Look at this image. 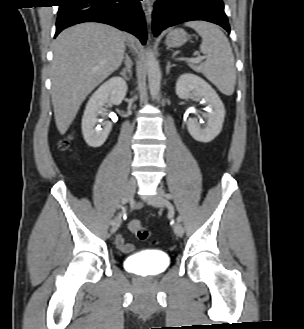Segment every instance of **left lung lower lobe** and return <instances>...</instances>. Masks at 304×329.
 <instances>
[{"instance_id": "0a47b994", "label": "left lung lower lobe", "mask_w": 304, "mask_h": 329, "mask_svg": "<svg viewBox=\"0 0 304 329\" xmlns=\"http://www.w3.org/2000/svg\"><path fill=\"white\" fill-rule=\"evenodd\" d=\"M192 20H204L230 33L222 0H158L153 11V32L158 36L167 27Z\"/></svg>"}]
</instances>
